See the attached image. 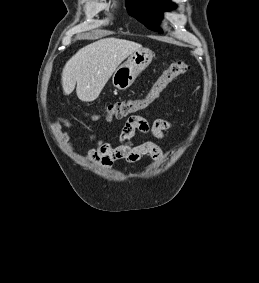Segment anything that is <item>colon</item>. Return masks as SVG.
Wrapping results in <instances>:
<instances>
[{"label": "colon", "instance_id": "1", "mask_svg": "<svg viewBox=\"0 0 259 283\" xmlns=\"http://www.w3.org/2000/svg\"><path fill=\"white\" fill-rule=\"evenodd\" d=\"M190 66L182 61L172 63L152 83L144 96L117 101L107 106L103 116L107 120L122 119L146 109L153 103L177 77L185 75Z\"/></svg>", "mask_w": 259, "mask_h": 283}]
</instances>
